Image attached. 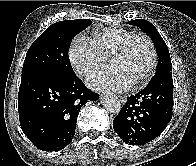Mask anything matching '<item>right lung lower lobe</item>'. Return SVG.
<instances>
[{
	"label": "right lung lower lobe",
	"mask_w": 196,
	"mask_h": 166,
	"mask_svg": "<svg viewBox=\"0 0 196 166\" xmlns=\"http://www.w3.org/2000/svg\"><path fill=\"white\" fill-rule=\"evenodd\" d=\"M98 98L76 75L65 77L50 72L24 75L18 93L22 131L38 149L62 150L75 135L81 107Z\"/></svg>",
	"instance_id": "98d812e1"
}]
</instances>
